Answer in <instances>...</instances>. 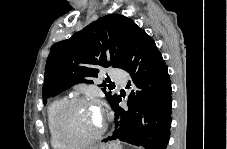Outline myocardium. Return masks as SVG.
Returning <instances> with one entry per match:
<instances>
[{
	"label": "myocardium",
	"mask_w": 227,
	"mask_h": 149,
	"mask_svg": "<svg viewBox=\"0 0 227 149\" xmlns=\"http://www.w3.org/2000/svg\"><path fill=\"white\" fill-rule=\"evenodd\" d=\"M84 102H90L89 98L87 97H82V96H75L71 97L69 99L64 100L61 105L58 107L56 114H55V119H54V126H55V131L58 139L62 144L65 146H89L93 145L96 141H98L103 133L106 130V120H105V114L104 111L101 110V125L99 130L93 134L92 136L82 139V140H76V139H69L68 137L65 136L64 131H63V117L68 110L69 107H71L74 104L77 103H84Z\"/></svg>",
	"instance_id": "1"
}]
</instances>
